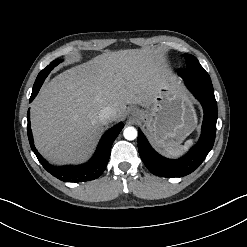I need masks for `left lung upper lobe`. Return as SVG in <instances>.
Returning <instances> with one entry per match:
<instances>
[{
    "mask_svg": "<svg viewBox=\"0 0 247 247\" xmlns=\"http://www.w3.org/2000/svg\"><path fill=\"white\" fill-rule=\"evenodd\" d=\"M184 56L186 58L187 68L180 74L182 78L201 82H211L210 76L200 65L196 57L189 54H184Z\"/></svg>",
    "mask_w": 247,
    "mask_h": 247,
    "instance_id": "obj_1",
    "label": "left lung upper lobe"
}]
</instances>
